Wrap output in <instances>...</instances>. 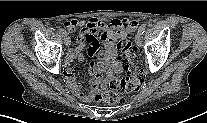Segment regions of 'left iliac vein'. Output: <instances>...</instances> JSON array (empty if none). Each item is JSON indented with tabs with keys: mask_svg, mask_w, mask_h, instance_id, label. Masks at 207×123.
<instances>
[{
	"mask_svg": "<svg viewBox=\"0 0 207 123\" xmlns=\"http://www.w3.org/2000/svg\"><path fill=\"white\" fill-rule=\"evenodd\" d=\"M135 44L138 47L142 45V34L140 32H137L135 35Z\"/></svg>",
	"mask_w": 207,
	"mask_h": 123,
	"instance_id": "obj_1",
	"label": "left iliac vein"
}]
</instances>
